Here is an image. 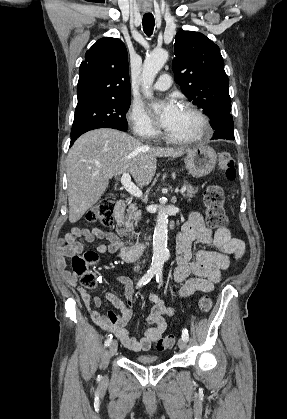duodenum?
Segmentation results:
<instances>
[{"instance_id": "obj_1", "label": "duodenum", "mask_w": 287, "mask_h": 419, "mask_svg": "<svg viewBox=\"0 0 287 419\" xmlns=\"http://www.w3.org/2000/svg\"><path fill=\"white\" fill-rule=\"evenodd\" d=\"M127 207V203L124 200L117 201L115 205V216L117 219H120ZM145 244L136 243L133 245H123L121 249V258L126 262L135 261L144 251Z\"/></svg>"}]
</instances>
